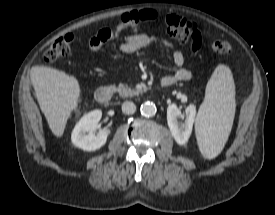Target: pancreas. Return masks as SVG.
Listing matches in <instances>:
<instances>
[{
    "mask_svg": "<svg viewBox=\"0 0 275 215\" xmlns=\"http://www.w3.org/2000/svg\"><path fill=\"white\" fill-rule=\"evenodd\" d=\"M116 91L122 97H133L142 93V90L128 87L126 84H122V83L118 85V87L116 88Z\"/></svg>",
    "mask_w": 275,
    "mask_h": 215,
    "instance_id": "1",
    "label": "pancreas"
}]
</instances>
